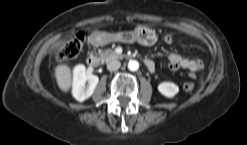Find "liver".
<instances>
[{
    "instance_id": "1",
    "label": "liver",
    "mask_w": 247,
    "mask_h": 145,
    "mask_svg": "<svg viewBox=\"0 0 247 145\" xmlns=\"http://www.w3.org/2000/svg\"><path fill=\"white\" fill-rule=\"evenodd\" d=\"M54 76L58 87L63 92H68L71 87V69L66 64H59L54 69Z\"/></svg>"
}]
</instances>
